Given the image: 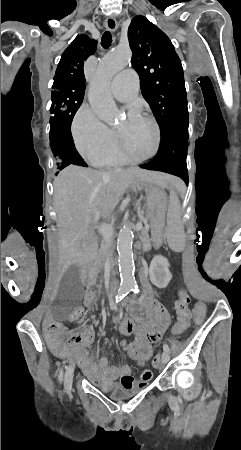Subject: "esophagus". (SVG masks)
I'll use <instances>...</instances> for the list:
<instances>
[{"instance_id":"esophagus-1","label":"esophagus","mask_w":241,"mask_h":450,"mask_svg":"<svg viewBox=\"0 0 241 450\" xmlns=\"http://www.w3.org/2000/svg\"><path fill=\"white\" fill-rule=\"evenodd\" d=\"M104 25L107 30H110L111 32H114L117 29V22L113 17L106 18Z\"/></svg>"}]
</instances>
